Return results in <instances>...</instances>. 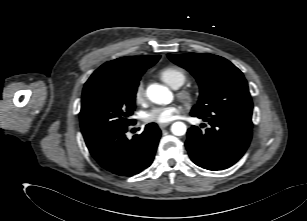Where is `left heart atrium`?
I'll use <instances>...</instances> for the list:
<instances>
[{
	"instance_id": "obj_1",
	"label": "left heart atrium",
	"mask_w": 307,
	"mask_h": 221,
	"mask_svg": "<svg viewBox=\"0 0 307 221\" xmlns=\"http://www.w3.org/2000/svg\"><path fill=\"white\" fill-rule=\"evenodd\" d=\"M178 112L174 105L155 107L145 115V120L150 123H168L172 121Z\"/></svg>"
}]
</instances>
